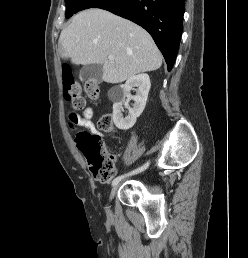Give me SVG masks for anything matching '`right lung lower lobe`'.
<instances>
[{
    "mask_svg": "<svg viewBox=\"0 0 248 258\" xmlns=\"http://www.w3.org/2000/svg\"><path fill=\"white\" fill-rule=\"evenodd\" d=\"M95 8L129 19L147 30L162 52L168 71L172 69L182 33L185 0H109Z\"/></svg>",
    "mask_w": 248,
    "mask_h": 258,
    "instance_id": "98d812e1",
    "label": "right lung lower lobe"
}]
</instances>
